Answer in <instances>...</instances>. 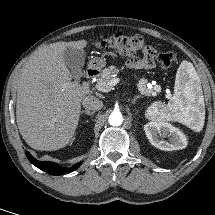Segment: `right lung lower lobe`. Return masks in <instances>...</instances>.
I'll list each match as a JSON object with an SVG mask.
<instances>
[{"label":"right lung lower lobe","instance_id":"1","mask_svg":"<svg viewBox=\"0 0 215 215\" xmlns=\"http://www.w3.org/2000/svg\"><path fill=\"white\" fill-rule=\"evenodd\" d=\"M25 154L33 165H35L39 169H41L51 175H64V174L74 171L81 165V162H80L70 168H65V167H61L60 165H58L57 163H54V162L38 161L28 151H26Z\"/></svg>","mask_w":215,"mask_h":215}]
</instances>
